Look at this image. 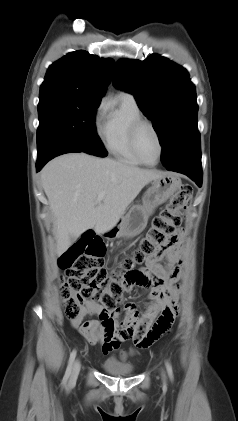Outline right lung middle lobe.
I'll use <instances>...</instances> for the list:
<instances>
[{"instance_id":"1","label":"right lung middle lobe","mask_w":238,"mask_h":421,"mask_svg":"<svg viewBox=\"0 0 238 421\" xmlns=\"http://www.w3.org/2000/svg\"><path fill=\"white\" fill-rule=\"evenodd\" d=\"M37 149L51 138L64 139L84 152L105 157L96 134L95 113L101 97L59 90H40Z\"/></svg>"}]
</instances>
